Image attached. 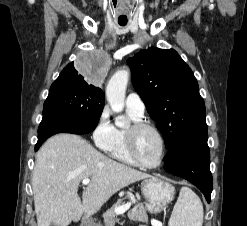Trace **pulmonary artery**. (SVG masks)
<instances>
[{
  "label": "pulmonary artery",
  "mask_w": 247,
  "mask_h": 226,
  "mask_svg": "<svg viewBox=\"0 0 247 226\" xmlns=\"http://www.w3.org/2000/svg\"><path fill=\"white\" fill-rule=\"evenodd\" d=\"M125 103L127 109L133 111L137 115L142 116L144 114L145 104L137 93L135 92L129 93L126 97Z\"/></svg>",
  "instance_id": "pulmonary-artery-1"
}]
</instances>
